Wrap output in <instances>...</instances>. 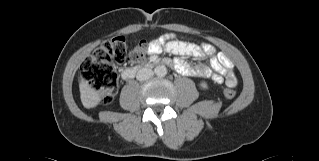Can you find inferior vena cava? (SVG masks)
Masks as SVG:
<instances>
[{
    "label": "inferior vena cava",
    "instance_id": "obj_1",
    "mask_svg": "<svg viewBox=\"0 0 319 161\" xmlns=\"http://www.w3.org/2000/svg\"><path fill=\"white\" fill-rule=\"evenodd\" d=\"M153 71L149 68H142L137 72L136 78L139 81H145L148 80L153 76Z\"/></svg>",
    "mask_w": 319,
    "mask_h": 161
}]
</instances>
